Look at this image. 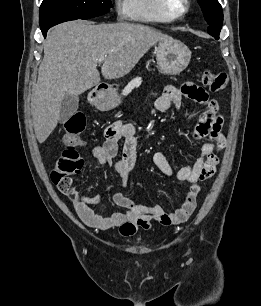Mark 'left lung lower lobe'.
<instances>
[{
	"label": "left lung lower lobe",
	"mask_w": 261,
	"mask_h": 306,
	"mask_svg": "<svg viewBox=\"0 0 261 306\" xmlns=\"http://www.w3.org/2000/svg\"><path fill=\"white\" fill-rule=\"evenodd\" d=\"M215 39H219V37H214Z\"/></svg>",
	"instance_id": "obj_1"
}]
</instances>
